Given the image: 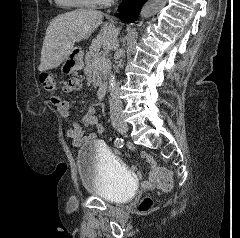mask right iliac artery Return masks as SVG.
<instances>
[{
    "label": "right iliac artery",
    "mask_w": 240,
    "mask_h": 238,
    "mask_svg": "<svg viewBox=\"0 0 240 238\" xmlns=\"http://www.w3.org/2000/svg\"><path fill=\"white\" fill-rule=\"evenodd\" d=\"M114 144L117 148H122L123 147V144H124V140L122 138H117L115 141H114Z\"/></svg>",
    "instance_id": "right-iliac-artery-1"
}]
</instances>
